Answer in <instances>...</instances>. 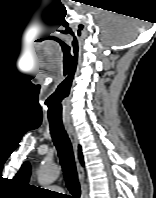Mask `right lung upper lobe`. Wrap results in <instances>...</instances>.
<instances>
[{"mask_svg":"<svg viewBox=\"0 0 156 198\" xmlns=\"http://www.w3.org/2000/svg\"><path fill=\"white\" fill-rule=\"evenodd\" d=\"M79 158H80L81 164L83 165V156H82L80 147H79Z\"/></svg>","mask_w":156,"mask_h":198,"instance_id":"cb5924a9","label":"right lung upper lobe"}]
</instances>
